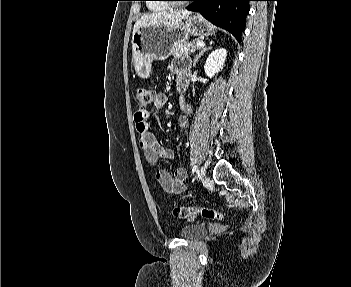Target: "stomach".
<instances>
[{"label": "stomach", "mask_w": 351, "mask_h": 287, "mask_svg": "<svg viewBox=\"0 0 351 287\" xmlns=\"http://www.w3.org/2000/svg\"><path fill=\"white\" fill-rule=\"evenodd\" d=\"M214 28L200 16L187 17L173 26L140 27L132 36V65L141 78L150 75L154 60H166L175 44L186 41L189 35L209 36Z\"/></svg>", "instance_id": "stomach-1"}]
</instances>
